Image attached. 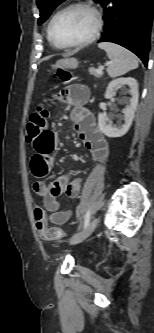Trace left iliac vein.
<instances>
[{
	"instance_id": "4c4485c4",
	"label": "left iliac vein",
	"mask_w": 154,
	"mask_h": 333,
	"mask_svg": "<svg viewBox=\"0 0 154 333\" xmlns=\"http://www.w3.org/2000/svg\"><path fill=\"white\" fill-rule=\"evenodd\" d=\"M98 222H99L98 217L93 218L92 221L87 225V227L81 233L74 236L70 240L69 244L75 245V244L82 242L86 238H88L92 234V232L95 230L96 226L98 225Z\"/></svg>"
}]
</instances>
